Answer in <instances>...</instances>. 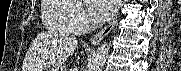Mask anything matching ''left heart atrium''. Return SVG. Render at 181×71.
Returning a JSON list of instances; mask_svg holds the SVG:
<instances>
[{
  "mask_svg": "<svg viewBox=\"0 0 181 71\" xmlns=\"http://www.w3.org/2000/svg\"><path fill=\"white\" fill-rule=\"evenodd\" d=\"M116 0H89L88 8L96 21H107L117 10Z\"/></svg>",
  "mask_w": 181,
  "mask_h": 71,
  "instance_id": "left-heart-atrium-1",
  "label": "left heart atrium"
}]
</instances>
